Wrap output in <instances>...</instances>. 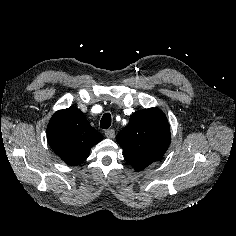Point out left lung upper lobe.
I'll list each match as a JSON object with an SVG mask.
<instances>
[{"label":"left lung upper lobe","instance_id":"1","mask_svg":"<svg viewBox=\"0 0 236 236\" xmlns=\"http://www.w3.org/2000/svg\"><path fill=\"white\" fill-rule=\"evenodd\" d=\"M124 156L136 169L159 161L169 147L171 134L166 116L158 108L132 114L129 124L116 136Z\"/></svg>","mask_w":236,"mask_h":236}]
</instances>
